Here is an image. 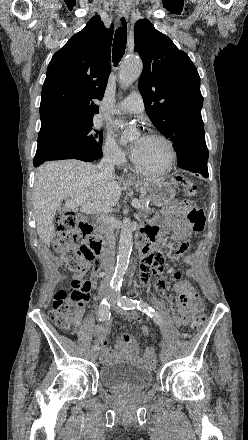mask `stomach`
I'll return each mask as SVG.
<instances>
[{
    "label": "stomach",
    "instance_id": "obj_1",
    "mask_svg": "<svg viewBox=\"0 0 248 440\" xmlns=\"http://www.w3.org/2000/svg\"><path fill=\"white\" fill-rule=\"evenodd\" d=\"M135 188L141 191L142 197H147L156 206L163 207L168 205L176 196L174 187L165 181L157 182H130Z\"/></svg>",
    "mask_w": 248,
    "mask_h": 440
}]
</instances>
